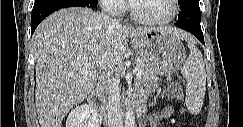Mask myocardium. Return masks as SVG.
I'll list each match as a JSON object with an SVG mask.
<instances>
[{
    "label": "myocardium",
    "instance_id": "f54148a6",
    "mask_svg": "<svg viewBox=\"0 0 243 127\" xmlns=\"http://www.w3.org/2000/svg\"><path fill=\"white\" fill-rule=\"evenodd\" d=\"M136 0H130L128 2V11L130 13V16L133 20L136 22L142 23V24H148V25H164L168 24L171 21H173L176 16L178 15L179 12V1L178 0H169L171 4V13L164 17V18H156V19H151V18H145L140 16L135 9V2Z\"/></svg>",
    "mask_w": 243,
    "mask_h": 127
}]
</instances>
